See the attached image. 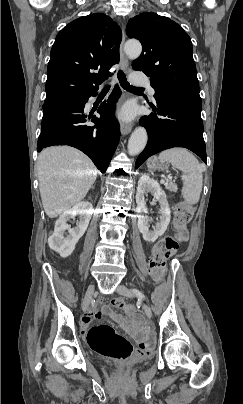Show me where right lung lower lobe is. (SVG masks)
I'll return each mask as SVG.
<instances>
[{
    "instance_id": "98d812e1",
    "label": "right lung lower lobe",
    "mask_w": 243,
    "mask_h": 404,
    "mask_svg": "<svg viewBox=\"0 0 243 404\" xmlns=\"http://www.w3.org/2000/svg\"><path fill=\"white\" fill-rule=\"evenodd\" d=\"M120 94L116 85L108 102L102 103L98 109L100 118L84 114L85 103L96 92L43 109L37 150L40 152L53 145L73 146L88 155L96 167L105 173L120 137L119 124L113 116L115 102ZM89 121L96 126H88L86 123Z\"/></svg>"
}]
</instances>
